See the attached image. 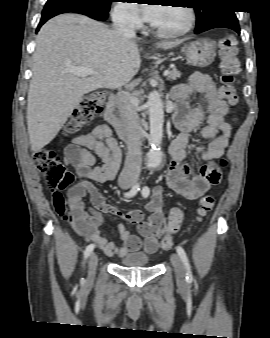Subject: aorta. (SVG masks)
<instances>
[{
    "label": "aorta",
    "instance_id": "762f6f07",
    "mask_svg": "<svg viewBox=\"0 0 270 338\" xmlns=\"http://www.w3.org/2000/svg\"><path fill=\"white\" fill-rule=\"evenodd\" d=\"M150 122V144L148 153L149 166L152 168L160 166L163 158L161 142L163 138L164 110L163 101L158 92L150 93L147 101Z\"/></svg>",
    "mask_w": 270,
    "mask_h": 338
}]
</instances>
